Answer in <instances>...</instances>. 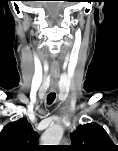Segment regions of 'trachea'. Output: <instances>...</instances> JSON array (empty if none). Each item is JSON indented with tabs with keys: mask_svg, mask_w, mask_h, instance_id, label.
<instances>
[{
	"mask_svg": "<svg viewBox=\"0 0 118 151\" xmlns=\"http://www.w3.org/2000/svg\"><path fill=\"white\" fill-rule=\"evenodd\" d=\"M55 97H56L55 93L48 94V96H47V103L51 104L55 100Z\"/></svg>",
	"mask_w": 118,
	"mask_h": 151,
	"instance_id": "obj_1",
	"label": "trachea"
}]
</instances>
